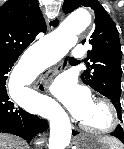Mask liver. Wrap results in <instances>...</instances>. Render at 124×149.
I'll return each instance as SVG.
<instances>
[{"mask_svg":"<svg viewBox=\"0 0 124 149\" xmlns=\"http://www.w3.org/2000/svg\"><path fill=\"white\" fill-rule=\"evenodd\" d=\"M23 144L17 137L0 134V149H24Z\"/></svg>","mask_w":124,"mask_h":149,"instance_id":"1","label":"liver"}]
</instances>
